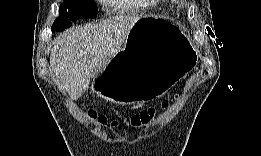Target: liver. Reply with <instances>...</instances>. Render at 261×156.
<instances>
[{
  "label": "liver",
  "instance_id": "6515ba94",
  "mask_svg": "<svg viewBox=\"0 0 261 156\" xmlns=\"http://www.w3.org/2000/svg\"><path fill=\"white\" fill-rule=\"evenodd\" d=\"M139 20L131 15L112 17L74 27L52 42L50 67L72 100L81 97L90 80L104 72Z\"/></svg>",
  "mask_w": 261,
  "mask_h": 156
}]
</instances>
